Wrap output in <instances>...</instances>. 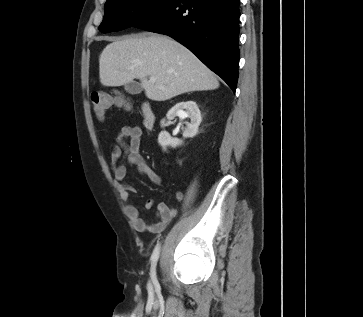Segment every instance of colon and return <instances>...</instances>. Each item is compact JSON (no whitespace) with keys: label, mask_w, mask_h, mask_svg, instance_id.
<instances>
[{"label":"colon","mask_w":363,"mask_h":317,"mask_svg":"<svg viewBox=\"0 0 363 317\" xmlns=\"http://www.w3.org/2000/svg\"><path fill=\"white\" fill-rule=\"evenodd\" d=\"M90 104L93 112L99 119H104L106 112L113 105L129 108V103L124 97L102 92H93L91 94Z\"/></svg>","instance_id":"obj_1"}]
</instances>
